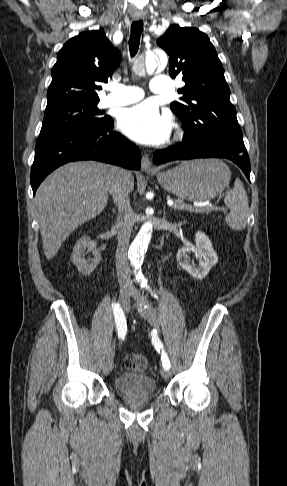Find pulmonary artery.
Instances as JSON below:
<instances>
[{"mask_svg": "<svg viewBox=\"0 0 287 486\" xmlns=\"http://www.w3.org/2000/svg\"><path fill=\"white\" fill-rule=\"evenodd\" d=\"M170 87V79L167 76H156L150 83V89L153 93H165ZM109 91L110 93L102 101L105 106L128 105L144 97L143 90L136 86L112 84L109 86Z\"/></svg>", "mask_w": 287, "mask_h": 486, "instance_id": "e3ab8cb5", "label": "pulmonary artery"}]
</instances>
